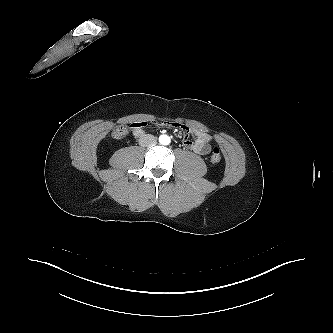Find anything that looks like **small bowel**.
<instances>
[{
	"label": "small bowel",
	"mask_w": 333,
	"mask_h": 333,
	"mask_svg": "<svg viewBox=\"0 0 333 333\" xmlns=\"http://www.w3.org/2000/svg\"><path fill=\"white\" fill-rule=\"evenodd\" d=\"M155 124L160 127L169 126L175 127L182 130L184 133V137L182 139V144L195 153L200 155L209 154L211 151V138L203 132L194 130L189 128L188 126L177 123V122H170V121H156ZM146 126V122L144 121H137L131 124L132 131L134 136L140 137L144 134V127ZM192 135V137H190Z\"/></svg>",
	"instance_id": "small-bowel-1"
}]
</instances>
